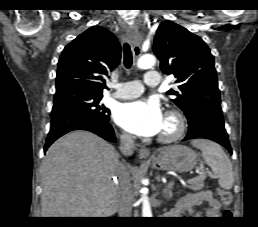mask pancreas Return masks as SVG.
<instances>
[{"instance_id": "cf45deb5", "label": "pancreas", "mask_w": 258, "mask_h": 227, "mask_svg": "<svg viewBox=\"0 0 258 227\" xmlns=\"http://www.w3.org/2000/svg\"><path fill=\"white\" fill-rule=\"evenodd\" d=\"M199 180L198 182L192 184L188 188L193 190V191H199L204 187V179L206 178V174L198 176Z\"/></svg>"}]
</instances>
